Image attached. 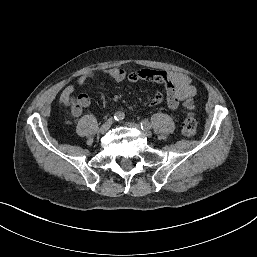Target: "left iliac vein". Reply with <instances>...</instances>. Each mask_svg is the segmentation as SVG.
<instances>
[{"mask_svg": "<svg viewBox=\"0 0 257 257\" xmlns=\"http://www.w3.org/2000/svg\"><path fill=\"white\" fill-rule=\"evenodd\" d=\"M127 125L140 130L147 137H150L152 135V133L149 129H141L139 124L128 122Z\"/></svg>", "mask_w": 257, "mask_h": 257, "instance_id": "obj_1", "label": "left iliac vein"}]
</instances>
